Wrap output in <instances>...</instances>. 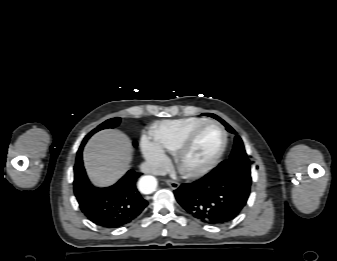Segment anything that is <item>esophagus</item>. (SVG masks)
<instances>
[{"label": "esophagus", "mask_w": 337, "mask_h": 261, "mask_svg": "<svg viewBox=\"0 0 337 261\" xmlns=\"http://www.w3.org/2000/svg\"><path fill=\"white\" fill-rule=\"evenodd\" d=\"M166 183L173 190L177 189L180 185L178 182L172 180H167Z\"/></svg>", "instance_id": "esophagus-1"}]
</instances>
